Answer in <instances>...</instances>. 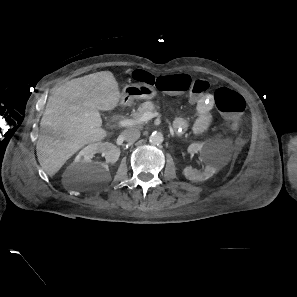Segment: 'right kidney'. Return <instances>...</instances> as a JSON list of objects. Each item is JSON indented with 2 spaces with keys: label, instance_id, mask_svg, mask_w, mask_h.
<instances>
[{
  "label": "right kidney",
  "instance_id": "1",
  "mask_svg": "<svg viewBox=\"0 0 297 297\" xmlns=\"http://www.w3.org/2000/svg\"><path fill=\"white\" fill-rule=\"evenodd\" d=\"M99 152L102 153L106 161L104 163H95L93 165L91 159L94 157V154ZM120 154L121 150L116 145L109 142H97L89 144L83 148L79 152L77 159L82 164L90 166L91 171L94 173L100 170V167L104 168L106 171H109L108 164H115L119 160Z\"/></svg>",
  "mask_w": 297,
  "mask_h": 297
}]
</instances>
